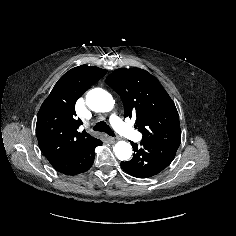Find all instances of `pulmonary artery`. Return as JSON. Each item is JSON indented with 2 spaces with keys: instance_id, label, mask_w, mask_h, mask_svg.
<instances>
[{
  "instance_id": "1",
  "label": "pulmonary artery",
  "mask_w": 236,
  "mask_h": 236,
  "mask_svg": "<svg viewBox=\"0 0 236 236\" xmlns=\"http://www.w3.org/2000/svg\"><path fill=\"white\" fill-rule=\"evenodd\" d=\"M111 123L115 130L127 139L139 141L141 134L135 129L126 125L116 114H112Z\"/></svg>"
}]
</instances>
